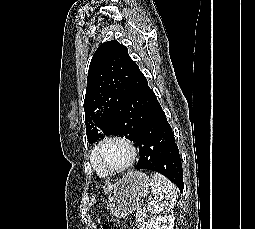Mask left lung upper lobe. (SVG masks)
I'll return each instance as SVG.
<instances>
[{
	"mask_svg": "<svg viewBox=\"0 0 255 229\" xmlns=\"http://www.w3.org/2000/svg\"><path fill=\"white\" fill-rule=\"evenodd\" d=\"M138 66L116 40L101 44L90 63L84 100L86 135L90 143L106 135L135 141L117 118Z\"/></svg>",
	"mask_w": 255,
	"mask_h": 229,
	"instance_id": "1",
	"label": "left lung upper lobe"
}]
</instances>
